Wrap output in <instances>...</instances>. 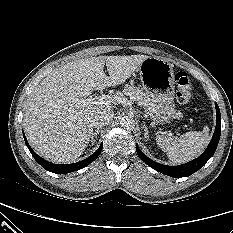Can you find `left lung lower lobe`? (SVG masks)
<instances>
[{"label": "left lung lower lobe", "mask_w": 233, "mask_h": 233, "mask_svg": "<svg viewBox=\"0 0 233 233\" xmlns=\"http://www.w3.org/2000/svg\"><path fill=\"white\" fill-rule=\"evenodd\" d=\"M215 107H216V116H217V124L215 128V132L208 147L198 158L178 166L162 165L151 160L146 155H144L138 148V145H136V151L138 156L143 160V162H145L154 170L169 175L171 177H176V178L187 177L195 173L201 167H203L206 164V162L214 155L215 150L218 146V142L221 135V127H220L221 115L217 103H215Z\"/></svg>", "instance_id": "obj_1"}]
</instances>
